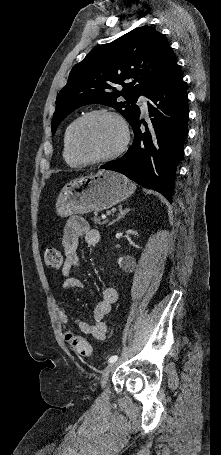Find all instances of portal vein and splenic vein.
<instances>
[{
	"label": "portal vein and splenic vein",
	"instance_id": "portal-vein-and-splenic-vein-1",
	"mask_svg": "<svg viewBox=\"0 0 221 455\" xmlns=\"http://www.w3.org/2000/svg\"><path fill=\"white\" fill-rule=\"evenodd\" d=\"M102 219H104L106 221V216L105 215H102L101 216ZM107 222V221H106Z\"/></svg>",
	"mask_w": 221,
	"mask_h": 455
}]
</instances>
